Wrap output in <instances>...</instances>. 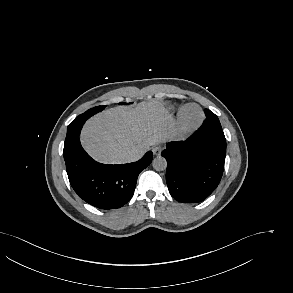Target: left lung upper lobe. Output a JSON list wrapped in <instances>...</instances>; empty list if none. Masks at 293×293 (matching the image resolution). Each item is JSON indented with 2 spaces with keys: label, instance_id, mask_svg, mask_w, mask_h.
Returning a JSON list of instances; mask_svg holds the SVG:
<instances>
[{
  "label": "left lung upper lobe",
  "instance_id": "obj_1",
  "mask_svg": "<svg viewBox=\"0 0 293 293\" xmlns=\"http://www.w3.org/2000/svg\"><path fill=\"white\" fill-rule=\"evenodd\" d=\"M204 112L206 115V119L203 123L214 126L218 132L222 131V127H221V124L219 122L218 117L208 109H205Z\"/></svg>",
  "mask_w": 293,
  "mask_h": 293
}]
</instances>
